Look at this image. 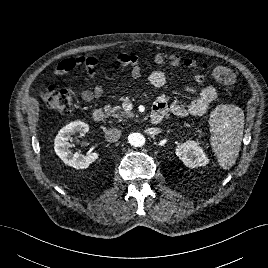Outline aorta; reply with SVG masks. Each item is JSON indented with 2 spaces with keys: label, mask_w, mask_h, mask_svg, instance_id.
Listing matches in <instances>:
<instances>
[{
  "label": "aorta",
  "mask_w": 268,
  "mask_h": 268,
  "mask_svg": "<svg viewBox=\"0 0 268 268\" xmlns=\"http://www.w3.org/2000/svg\"><path fill=\"white\" fill-rule=\"evenodd\" d=\"M128 142L135 147H140L145 144V137L141 133H131L128 136Z\"/></svg>",
  "instance_id": "762f6f07"
}]
</instances>
